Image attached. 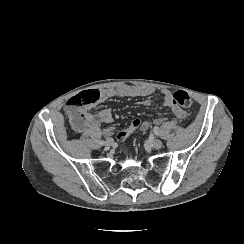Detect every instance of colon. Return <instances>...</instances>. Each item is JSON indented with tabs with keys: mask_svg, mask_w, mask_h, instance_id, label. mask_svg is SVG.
I'll return each mask as SVG.
<instances>
[{
	"mask_svg": "<svg viewBox=\"0 0 244 244\" xmlns=\"http://www.w3.org/2000/svg\"><path fill=\"white\" fill-rule=\"evenodd\" d=\"M172 103L183 108H188L192 106L193 101L191 96L189 95L188 92L184 90H179L174 92L173 98H172ZM67 111L69 112L71 119H72V124L75 129L84 127L87 124L88 117L83 111V107L81 105H72V102L69 101L67 103ZM143 119L139 117L137 121H133V124L126 130L122 131L117 135V139L119 141H123L125 137H127L130 133H133L135 129L138 128V124L142 121Z\"/></svg>",
	"mask_w": 244,
	"mask_h": 244,
	"instance_id": "5ec220e1",
	"label": "colon"
}]
</instances>
